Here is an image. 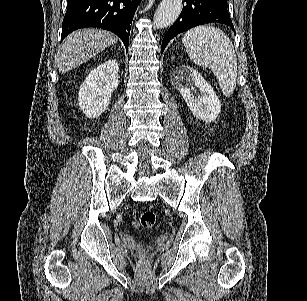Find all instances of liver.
<instances>
[{
    "mask_svg": "<svg viewBox=\"0 0 307 301\" xmlns=\"http://www.w3.org/2000/svg\"><path fill=\"white\" fill-rule=\"evenodd\" d=\"M118 36L101 28H78L64 38L55 54V66L60 74L69 72L92 56L117 42Z\"/></svg>",
    "mask_w": 307,
    "mask_h": 301,
    "instance_id": "1",
    "label": "liver"
}]
</instances>
